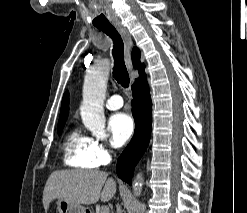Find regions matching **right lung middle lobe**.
Listing matches in <instances>:
<instances>
[{"instance_id": "obj_1", "label": "right lung middle lobe", "mask_w": 247, "mask_h": 213, "mask_svg": "<svg viewBox=\"0 0 247 213\" xmlns=\"http://www.w3.org/2000/svg\"><path fill=\"white\" fill-rule=\"evenodd\" d=\"M65 123L58 124V134L61 133Z\"/></svg>"}]
</instances>
